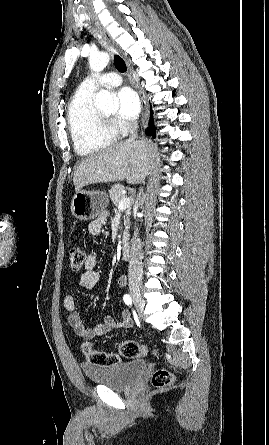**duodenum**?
<instances>
[{
  "label": "duodenum",
  "mask_w": 269,
  "mask_h": 445,
  "mask_svg": "<svg viewBox=\"0 0 269 445\" xmlns=\"http://www.w3.org/2000/svg\"><path fill=\"white\" fill-rule=\"evenodd\" d=\"M121 255L123 259H128L130 255V246L127 241L122 244Z\"/></svg>",
  "instance_id": "1"
}]
</instances>
